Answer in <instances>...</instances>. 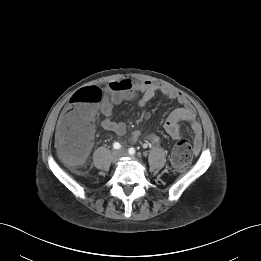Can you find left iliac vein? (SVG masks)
I'll list each match as a JSON object with an SVG mask.
<instances>
[{
  "mask_svg": "<svg viewBox=\"0 0 261 261\" xmlns=\"http://www.w3.org/2000/svg\"><path fill=\"white\" fill-rule=\"evenodd\" d=\"M119 153L121 156H128V153L125 150H121V151H119Z\"/></svg>",
  "mask_w": 261,
  "mask_h": 261,
  "instance_id": "4c4485c4",
  "label": "left iliac vein"
}]
</instances>
